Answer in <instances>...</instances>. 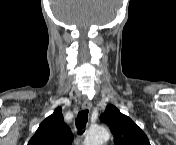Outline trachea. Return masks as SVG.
<instances>
[{"label":"trachea","mask_w":176,"mask_h":145,"mask_svg":"<svg viewBox=\"0 0 176 145\" xmlns=\"http://www.w3.org/2000/svg\"><path fill=\"white\" fill-rule=\"evenodd\" d=\"M87 120H88V110L86 109L80 111L75 120L76 127L79 130V135L83 133L82 130L85 128Z\"/></svg>","instance_id":"trachea-1"}]
</instances>
